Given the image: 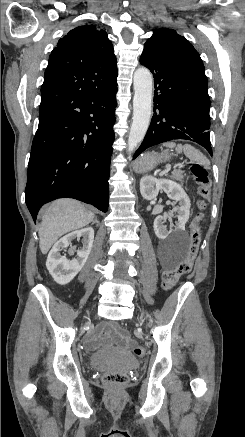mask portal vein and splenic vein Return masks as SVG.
<instances>
[{
    "label": "portal vein and splenic vein",
    "instance_id": "portal-vein-and-splenic-vein-1",
    "mask_svg": "<svg viewBox=\"0 0 245 437\" xmlns=\"http://www.w3.org/2000/svg\"><path fill=\"white\" fill-rule=\"evenodd\" d=\"M180 167H182V165ZM170 169H171V166L167 165V170H170Z\"/></svg>",
    "mask_w": 245,
    "mask_h": 437
}]
</instances>
